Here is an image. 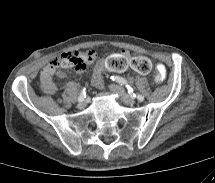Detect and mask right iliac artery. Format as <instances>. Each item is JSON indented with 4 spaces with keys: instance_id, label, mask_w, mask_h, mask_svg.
Wrapping results in <instances>:
<instances>
[{
    "instance_id": "82829eb1",
    "label": "right iliac artery",
    "mask_w": 215,
    "mask_h": 183,
    "mask_svg": "<svg viewBox=\"0 0 215 183\" xmlns=\"http://www.w3.org/2000/svg\"><path fill=\"white\" fill-rule=\"evenodd\" d=\"M85 97H86V92H85V88H83L81 90V93H80L79 97H78V101L84 100Z\"/></svg>"
}]
</instances>
